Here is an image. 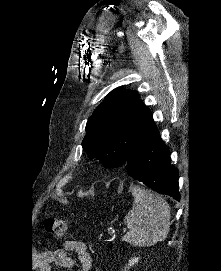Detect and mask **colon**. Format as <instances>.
Listing matches in <instances>:
<instances>
[{
    "instance_id": "5ec220e1",
    "label": "colon",
    "mask_w": 221,
    "mask_h": 271,
    "mask_svg": "<svg viewBox=\"0 0 221 271\" xmlns=\"http://www.w3.org/2000/svg\"><path fill=\"white\" fill-rule=\"evenodd\" d=\"M66 224L63 219L49 216L46 220V230L56 239L61 240L65 235Z\"/></svg>"
}]
</instances>
